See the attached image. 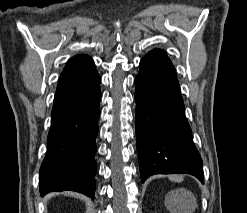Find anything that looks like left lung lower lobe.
Masks as SVG:
<instances>
[{"label":"left lung lower lobe","instance_id":"1","mask_svg":"<svg viewBox=\"0 0 247 213\" xmlns=\"http://www.w3.org/2000/svg\"><path fill=\"white\" fill-rule=\"evenodd\" d=\"M135 85L142 182L154 174L188 173L204 183L202 159L185 117L175 68L165 51L142 58Z\"/></svg>","mask_w":247,"mask_h":213}]
</instances>
